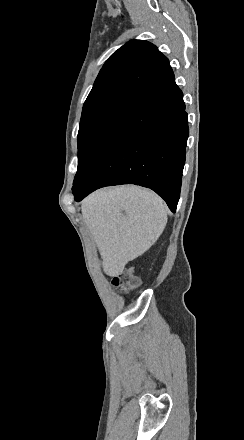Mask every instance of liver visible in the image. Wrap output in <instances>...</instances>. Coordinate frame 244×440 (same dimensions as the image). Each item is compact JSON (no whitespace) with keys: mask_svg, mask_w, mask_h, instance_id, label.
<instances>
[{"mask_svg":"<svg viewBox=\"0 0 244 440\" xmlns=\"http://www.w3.org/2000/svg\"><path fill=\"white\" fill-rule=\"evenodd\" d=\"M81 212L111 278L154 246L168 220L162 198L139 186L97 190L81 202Z\"/></svg>","mask_w":244,"mask_h":440,"instance_id":"1","label":"liver"}]
</instances>
